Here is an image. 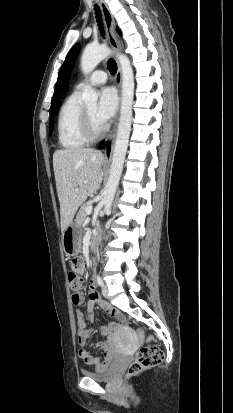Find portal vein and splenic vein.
I'll use <instances>...</instances> for the list:
<instances>
[{"label": "portal vein and splenic vein", "instance_id": "obj_1", "mask_svg": "<svg viewBox=\"0 0 233 413\" xmlns=\"http://www.w3.org/2000/svg\"><path fill=\"white\" fill-rule=\"evenodd\" d=\"M91 212H92V206H88V207L86 208V213H87V214H91ZM87 220H88V218H87Z\"/></svg>", "mask_w": 233, "mask_h": 413}]
</instances>
